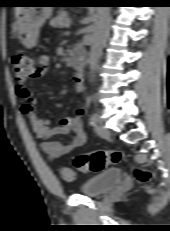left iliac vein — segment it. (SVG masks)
Wrapping results in <instances>:
<instances>
[{"instance_id": "1", "label": "left iliac vein", "mask_w": 170, "mask_h": 231, "mask_svg": "<svg viewBox=\"0 0 170 231\" xmlns=\"http://www.w3.org/2000/svg\"><path fill=\"white\" fill-rule=\"evenodd\" d=\"M95 131L102 138H109L110 137V131L105 126L98 124L95 126Z\"/></svg>"}]
</instances>
